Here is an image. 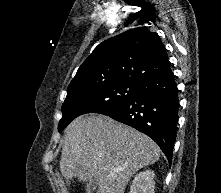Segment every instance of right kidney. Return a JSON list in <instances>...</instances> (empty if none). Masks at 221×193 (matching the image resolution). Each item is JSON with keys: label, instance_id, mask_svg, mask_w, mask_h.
I'll use <instances>...</instances> for the list:
<instances>
[{"label": "right kidney", "instance_id": "1", "mask_svg": "<svg viewBox=\"0 0 221 193\" xmlns=\"http://www.w3.org/2000/svg\"><path fill=\"white\" fill-rule=\"evenodd\" d=\"M154 171L145 170L134 177L129 193H154Z\"/></svg>", "mask_w": 221, "mask_h": 193}]
</instances>
